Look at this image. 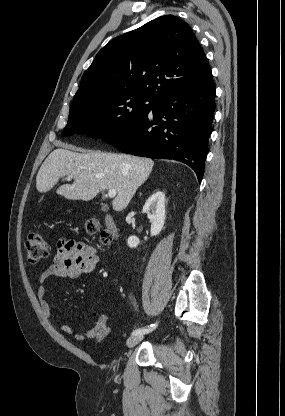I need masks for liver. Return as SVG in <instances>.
I'll return each instance as SVG.
<instances>
[{"instance_id":"liver-1","label":"liver","mask_w":285,"mask_h":416,"mask_svg":"<svg viewBox=\"0 0 285 416\" xmlns=\"http://www.w3.org/2000/svg\"><path fill=\"white\" fill-rule=\"evenodd\" d=\"M43 162L37 176L38 192H49L62 176H71L73 184H64L57 190L67 200L89 202L104 190H116L112 202L115 212L127 208L136 190L149 178L154 162L150 158H136L126 154H103V152H69L75 146L56 142Z\"/></svg>"}]
</instances>
